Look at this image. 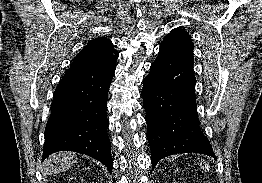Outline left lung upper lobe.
<instances>
[{"label": "left lung upper lobe", "instance_id": "1", "mask_svg": "<svg viewBox=\"0 0 262 183\" xmlns=\"http://www.w3.org/2000/svg\"><path fill=\"white\" fill-rule=\"evenodd\" d=\"M193 48L194 45L189 33L184 29L177 28L166 35L160 45V50L185 56L191 60H194Z\"/></svg>", "mask_w": 262, "mask_h": 183}]
</instances>
